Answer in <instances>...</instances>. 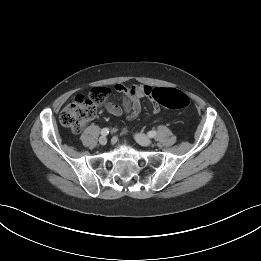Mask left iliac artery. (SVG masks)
Masks as SVG:
<instances>
[{
  "mask_svg": "<svg viewBox=\"0 0 261 261\" xmlns=\"http://www.w3.org/2000/svg\"><path fill=\"white\" fill-rule=\"evenodd\" d=\"M157 131L156 130H151L148 132V136L153 138L156 135Z\"/></svg>",
  "mask_w": 261,
  "mask_h": 261,
  "instance_id": "44dca946",
  "label": "left iliac artery"
}]
</instances>
